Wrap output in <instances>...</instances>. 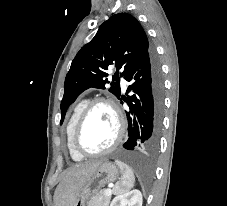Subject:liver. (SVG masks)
I'll use <instances>...</instances> for the list:
<instances>
[{
  "mask_svg": "<svg viewBox=\"0 0 227 206\" xmlns=\"http://www.w3.org/2000/svg\"><path fill=\"white\" fill-rule=\"evenodd\" d=\"M101 161H89L69 168L63 175L54 194L55 206H73L78 192L95 173Z\"/></svg>",
  "mask_w": 227,
  "mask_h": 206,
  "instance_id": "obj_1",
  "label": "liver"
}]
</instances>
